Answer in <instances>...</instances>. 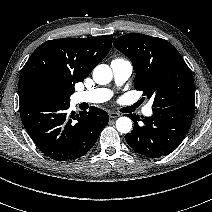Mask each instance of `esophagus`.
<instances>
[{"label":"esophagus","instance_id":"esophagus-1","mask_svg":"<svg viewBox=\"0 0 212 212\" xmlns=\"http://www.w3.org/2000/svg\"><path fill=\"white\" fill-rule=\"evenodd\" d=\"M119 116H120V114L117 113V112H109V117H110L111 119H116V118H118Z\"/></svg>","mask_w":212,"mask_h":212}]
</instances>
